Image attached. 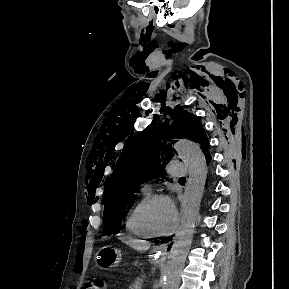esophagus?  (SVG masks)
Masks as SVG:
<instances>
[{
  "mask_svg": "<svg viewBox=\"0 0 289 289\" xmlns=\"http://www.w3.org/2000/svg\"><path fill=\"white\" fill-rule=\"evenodd\" d=\"M156 249L161 254V256L165 258L168 252V244H162L158 246Z\"/></svg>",
  "mask_w": 289,
  "mask_h": 289,
  "instance_id": "esophagus-1",
  "label": "esophagus"
}]
</instances>
